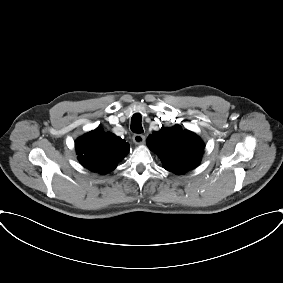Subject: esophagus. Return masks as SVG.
Returning <instances> with one entry per match:
<instances>
[{
  "label": "esophagus",
  "instance_id": "34e87169",
  "mask_svg": "<svg viewBox=\"0 0 283 283\" xmlns=\"http://www.w3.org/2000/svg\"><path fill=\"white\" fill-rule=\"evenodd\" d=\"M132 139L133 142L137 145H141L145 142V136L142 134H134Z\"/></svg>",
  "mask_w": 283,
  "mask_h": 283
}]
</instances>
